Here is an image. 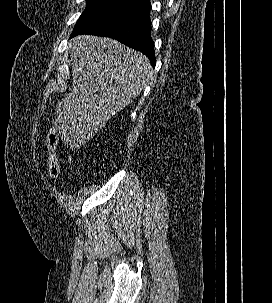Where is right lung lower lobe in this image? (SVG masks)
<instances>
[{
	"instance_id": "right-lung-lower-lobe-1",
	"label": "right lung lower lobe",
	"mask_w": 272,
	"mask_h": 303,
	"mask_svg": "<svg viewBox=\"0 0 272 303\" xmlns=\"http://www.w3.org/2000/svg\"><path fill=\"white\" fill-rule=\"evenodd\" d=\"M149 15L150 7L122 19L104 23L89 31L72 34L71 37L79 34H90L113 38L145 54L150 59L152 66L155 67L156 58L153 40L150 36L151 20Z\"/></svg>"
}]
</instances>
